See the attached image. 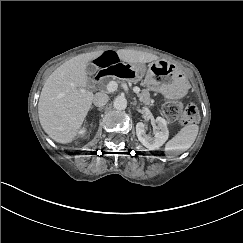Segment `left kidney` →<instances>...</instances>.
Instances as JSON below:
<instances>
[{"instance_id": "5707ae66", "label": "left kidney", "mask_w": 243, "mask_h": 243, "mask_svg": "<svg viewBox=\"0 0 243 243\" xmlns=\"http://www.w3.org/2000/svg\"><path fill=\"white\" fill-rule=\"evenodd\" d=\"M158 131L154 136L146 134L145 125L142 122L136 124V135L138 140L149 150L159 149L169 137V130L167 127V121L162 117L156 118Z\"/></svg>"}]
</instances>
